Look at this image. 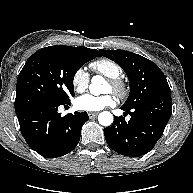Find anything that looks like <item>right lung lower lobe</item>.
<instances>
[{
  "mask_svg": "<svg viewBox=\"0 0 193 193\" xmlns=\"http://www.w3.org/2000/svg\"><path fill=\"white\" fill-rule=\"evenodd\" d=\"M69 103L44 100L16 112L24 139L41 156L60 157L77 146L89 116L86 112H75L62 117L58 106Z\"/></svg>",
  "mask_w": 193,
  "mask_h": 193,
  "instance_id": "98d812e1",
  "label": "right lung lower lobe"
}]
</instances>
